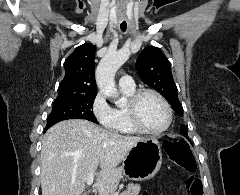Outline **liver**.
<instances>
[{"label": "liver", "instance_id": "6515ba94", "mask_svg": "<svg viewBox=\"0 0 240 195\" xmlns=\"http://www.w3.org/2000/svg\"><path fill=\"white\" fill-rule=\"evenodd\" d=\"M141 139L102 129L88 119L55 123L42 141V195H81L90 177H96L100 195H111L123 177L117 165ZM98 165L100 171H96Z\"/></svg>", "mask_w": 240, "mask_h": 195}]
</instances>
